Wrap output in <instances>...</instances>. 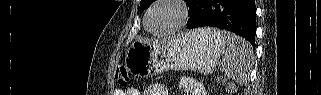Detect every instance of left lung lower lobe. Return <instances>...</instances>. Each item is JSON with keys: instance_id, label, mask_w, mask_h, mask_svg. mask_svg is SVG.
Listing matches in <instances>:
<instances>
[{"instance_id": "1", "label": "left lung lower lobe", "mask_w": 321, "mask_h": 95, "mask_svg": "<svg viewBox=\"0 0 321 95\" xmlns=\"http://www.w3.org/2000/svg\"><path fill=\"white\" fill-rule=\"evenodd\" d=\"M188 28L213 26L232 31L255 48V0H192Z\"/></svg>"}]
</instances>
